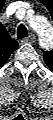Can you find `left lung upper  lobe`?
<instances>
[{
	"label": "left lung upper lobe",
	"mask_w": 53,
	"mask_h": 120,
	"mask_svg": "<svg viewBox=\"0 0 53 120\" xmlns=\"http://www.w3.org/2000/svg\"><path fill=\"white\" fill-rule=\"evenodd\" d=\"M41 2L48 8L49 3L45 0H41ZM44 60L46 64L50 67L52 66V60H53V53L52 52H45L44 51Z\"/></svg>",
	"instance_id": "left-lung-upper-lobe-1"
}]
</instances>
